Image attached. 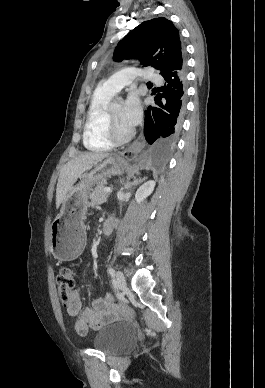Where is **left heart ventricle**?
Segmentation results:
<instances>
[{"label": "left heart ventricle", "mask_w": 265, "mask_h": 388, "mask_svg": "<svg viewBox=\"0 0 265 388\" xmlns=\"http://www.w3.org/2000/svg\"><path fill=\"white\" fill-rule=\"evenodd\" d=\"M130 89V86L129 88H127V90ZM117 91H120V90H117ZM116 91V92H117ZM115 92V93H116ZM110 112H111V116H112V119L114 120L116 126L120 129V130H127L129 129V127L127 125H125L123 122H122V119H121V114H122V106H114V107H110Z\"/></svg>", "instance_id": "1"}]
</instances>
